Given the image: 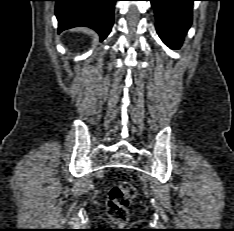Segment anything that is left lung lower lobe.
<instances>
[{"mask_svg": "<svg viewBox=\"0 0 234 231\" xmlns=\"http://www.w3.org/2000/svg\"><path fill=\"white\" fill-rule=\"evenodd\" d=\"M150 1L155 10L156 28L160 38L169 47H179L191 25L195 0Z\"/></svg>", "mask_w": 234, "mask_h": 231, "instance_id": "left-lung-lower-lobe-1", "label": "left lung lower lobe"}]
</instances>
